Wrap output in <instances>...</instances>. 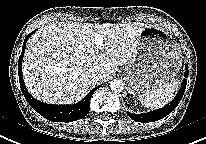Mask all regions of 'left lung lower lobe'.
<instances>
[{"label":"left lung lower lobe","mask_w":206,"mask_h":144,"mask_svg":"<svg viewBox=\"0 0 206 144\" xmlns=\"http://www.w3.org/2000/svg\"><path fill=\"white\" fill-rule=\"evenodd\" d=\"M184 75H185V78L188 77V66L187 65H186V72ZM186 84H187V79H184L183 83L181 85V88H180L178 94L176 95V97L169 104H167L165 107L160 108L158 110L148 112V113H144V114L128 113L129 117L131 119H133L134 121L146 122V123L147 122H154V121H157V120L164 118L165 116L170 114L179 104L180 100L182 99V97L184 95Z\"/></svg>","instance_id":"obj_1"}]
</instances>
